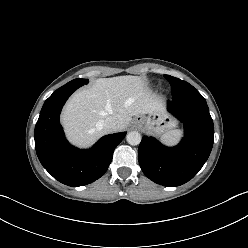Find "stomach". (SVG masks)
I'll return each instance as SVG.
<instances>
[{"instance_id": "1", "label": "stomach", "mask_w": 248, "mask_h": 248, "mask_svg": "<svg viewBox=\"0 0 248 248\" xmlns=\"http://www.w3.org/2000/svg\"><path fill=\"white\" fill-rule=\"evenodd\" d=\"M139 119L143 124L144 130L155 135L167 133L174 126V123L161 113L149 115L148 117L141 116Z\"/></svg>"}]
</instances>
